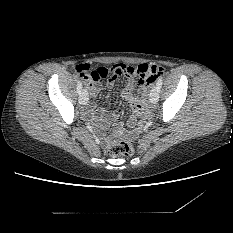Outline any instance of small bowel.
<instances>
[{"label":"small bowel","instance_id":"c3829d8e","mask_svg":"<svg viewBox=\"0 0 233 233\" xmlns=\"http://www.w3.org/2000/svg\"><path fill=\"white\" fill-rule=\"evenodd\" d=\"M110 68L113 69V76L107 81V87L111 90L114 86L115 80L122 75L121 68L119 65H112ZM87 88L89 89L90 96L95 97L101 88L100 81H87L85 82ZM139 88L142 93L148 95V88L150 83H142L138 81ZM134 89V79L129 78L128 84L123 90V95L126 98L128 104L132 107L131 115L129 116L125 124H118L114 127L112 133L103 134L102 142L104 144H110L117 138H135L141 131L140 125L137 123V116L139 115V106H137V99L133 95L132 91ZM121 114V111H106L97 107L96 104L91 103L87 110L86 115L94 120L102 132L106 125L117 119Z\"/></svg>","mask_w":233,"mask_h":233}]
</instances>
